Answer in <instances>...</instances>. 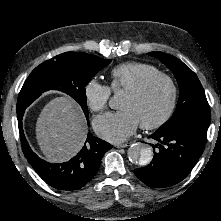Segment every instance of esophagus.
<instances>
[{
    "label": "esophagus",
    "instance_id": "1",
    "mask_svg": "<svg viewBox=\"0 0 221 221\" xmlns=\"http://www.w3.org/2000/svg\"><path fill=\"white\" fill-rule=\"evenodd\" d=\"M132 145V142H126V143H123V144H116L115 146L117 148H126V147H129Z\"/></svg>",
    "mask_w": 221,
    "mask_h": 221
}]
</instances>
